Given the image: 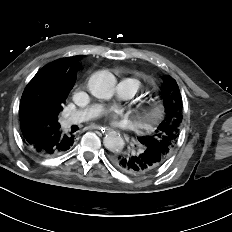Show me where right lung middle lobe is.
<instances>
[{"label":"right lung middle lobe","instance_id":"1","mask_svg":"<svg viewBox=\"0 0 232 232\" xmlns=\"http://www.w3.org/2000/svg\"><path fill=\"white\" fill-rule=\"evenodd\" d=\"M43 96V101L45 104H47L49 108V112L51 114V118L55 123H58V114L60 111H62L63 107L62 105L64 104L63 101L58 100L52 93H47L46 95ZM25 109L21 107L20 105V114L25 113Z\"/></svg>","mask_w":232,"mask_h":232}]
</instances>
